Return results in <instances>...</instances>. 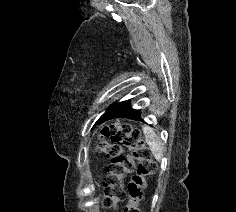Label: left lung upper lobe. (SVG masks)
Segmentation results:
<instances>
[{
  "mask_svg": "<svg viewBox=\"0 0 236 212\" xmlns=\"http://www.w3.org/2000/svg\"><path fill=\"white\" fill-rule=\"evenodd\" d=\"M98 121H99V119H98ZM98 121L95 123V125L98 124ZM95 125H94V126H95Z\"/></svg>",
  "mask_w": 236,
  "mask_h": 212,
  "instance_id": "obj_1",
  "label": "left lung upper lobe"
}]
</instances>
